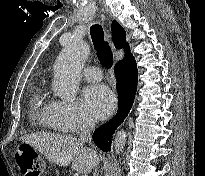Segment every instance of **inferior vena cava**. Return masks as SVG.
Listing matches in <instances>:
<instances>
[{
  "label": "inferior vena cava",
  "instance_id": "inferior-vena-cava-1",
  "mask_svg": "<svg viewBox=\"0 0 205 176\" xmlns=\"http://www.w3.org/2000/svg\"><path fill=\"white\" fill-rule=\"evenodd\" d=\"M94 127H95V121L93 119L83 117L80 131H79L78 141L82 144H84L85 142H89V144H91L92 141L91 132L94 129ZM93 176H99L97 170H95Z\"/></svg>",
  "mask_w": 205,
  "mask_h": 176
}]
</instances>
